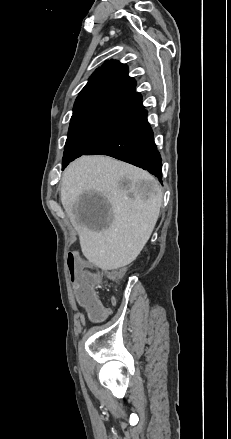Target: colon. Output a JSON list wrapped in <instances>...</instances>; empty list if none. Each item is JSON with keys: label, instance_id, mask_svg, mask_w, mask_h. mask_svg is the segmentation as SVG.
<instances>
[{"label": "colon", "instance_id": "1", "mask_svg": "<svg viewBox=\"0 0 231 439\" xmlns=\"http://www.w3.org/2000/svg\"><path fill=\"white\" fill-rule=\"evenodd\" d=\"M69 254L67 263L82 311L92 320H107L108 309L102 304V298L97 295V278L90 269V260L84 255H79L80 251L75 248L70 249ZM122 274L121 270L113 271L109 273V278L117 279Z\"/></svg>", "mask_w": 231, "mask_h": 439}]
</instances>
